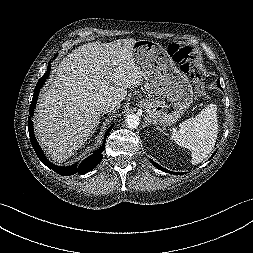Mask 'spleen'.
<instances>
[{
	"label": "spleen",
	"instance_id": "1",
	"mask_svg": "<svg viewBox=\"0 0 253 253\" xmlns=\"http://www.w3.org/2000/svg\"><path fill=\"white\" fill-rule=\"evenodd\" d=\"M218 135L217 106L209 104L197 116L173 129V141L191 152V163L202 162L213 150Z\"/></svg>",
	"mask_w": 253,
	"mask_h": 253
}]
</instances>
